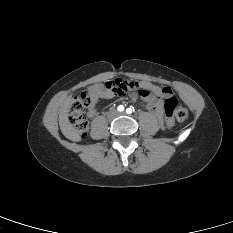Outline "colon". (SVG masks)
Returning a JSON list of instances; mask_svg holds the SVG:
<instances>
[{"instance_id": "obj_1", "label": "colon", "mask_w": 233, "mask_h": 233, "mask_svg": "<svg viewBox=\"0 0 233 233\" xmlns=\"http://www.w3.org/2000/svg\"><path fill=\"white\" fill-rule=\"evenodd\" d=\"M106 89L112 90L115 94L123 95L127 91L138 89L137 81L127 79H114L104 83ZM90 99L87 93L83 92L73 98L70 106V119L77 134L85 137L88 134L89 125L86 117ZM165 125L173 128L176 122H182L187 118V109L179 106L174 97H167L164 103Z\"/></svg>"}]
</instances>
